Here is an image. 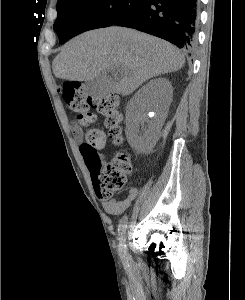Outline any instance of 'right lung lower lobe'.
Here are the masks:
<instances>
[{"instance_id": "1", "label": "right lung lower lobe", "mask_w": 245, "mask_h": 300, "mask_svg": "<svg viewBox=\"0 0 245 300\" xmlns=\"http://www.w3.org/2000/svg\"><path fill=\"white\" fill-rule=\"evenodd\" d=\"M198 23V0H148L116 22L163 38L192 52Z\"/></svg>"}]
</instances>
